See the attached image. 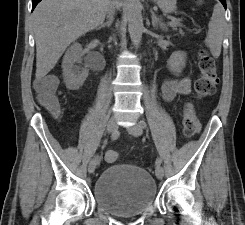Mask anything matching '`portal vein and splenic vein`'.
Segmentation results:
<instances>
[{
  "instance_id": "obj_1",
  "label": "portal vein and splenic vein",
  "mask_w": 245,
  "mask_h": 225,
  "mask_svg": "<svg viewBox=\"0 0 245 225\" xmlns=\"http://www.w3.org/2000/svg\"><path fill=\"white\" fill-rule=\"evenodd\" d=\"M176 21H177V19L175 17H171V21L168 22L167 24L172 27L176 24Z\"/></svg>"
}]
</instances>
